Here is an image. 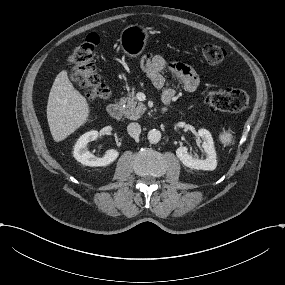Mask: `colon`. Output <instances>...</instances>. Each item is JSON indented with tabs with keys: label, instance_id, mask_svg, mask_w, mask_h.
<instances>
[{
	"label": "colon",
	"instance_id": "5ec220e1",
	"mask_svg": "<svg viewBox=\"0 0 285 285\" xmlns=\"http://www.w3.org/2000/svg\"><path fill=\"white\" fill-rule=\"evenodd\" d=\"M98 43V36L91 33L69 57L72 73L90 100L104 99L110 94L109 88L102 82L94 64V50ZM202 53L207 63L212 66L221 64L226 58L225 49L214 44L205 45ZM204 101L214 110L236 113L247 108L249 97L240 89L208 90L204 93Z\"/></svg>",
	"mask_w": 285,
	"mask_h": 285
}]
</instances>
